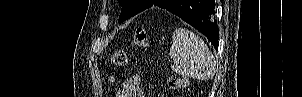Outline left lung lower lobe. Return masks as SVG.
<instances>
[{
	"label": "left lung lower lobe",
	"mask_w": 302,
	"mask_h": 97,
	"mask_svg": "<svg viewBox=\"0 0 302 97\" xmlns=\"http://www.w3.org/2000/svg\"><path fill=\"white\" fill-rule=\"evenodd\" d=\"M152 6L164 8L189 23L218 48V26L214 19L215 0H155Z\"/></svg>",
	"instance_id": "1"
}]
</instances>
